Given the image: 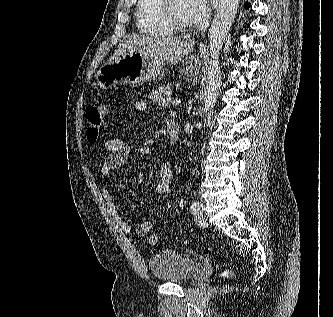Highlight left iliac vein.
Wrapping results in <instances>:
<instances>
[{
	"label": "left iliac vein",
	"mask_w": 333,
	"mask_h": 317,
	"mask_svg": "<svg viewBox=\"0 0 333 317\" xmlns=\"http://www.w3.org/2000/svg\"><path fill=\"white\" fill-rule=\"evenodd\" d=\"M202 210H203V205H202ZM202 210L195 214V222L198 226L204 228V227L208 226V222H207L206 217L202 214Z\"/></svg>",
	"instance_id": "left-iliac-vein-1"
}]
</instances>
